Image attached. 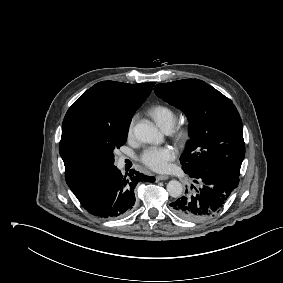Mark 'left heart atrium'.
Wrapping results in <instances>:
<instances>
[{
	"label": "left heart atrium",
	"mask_w": 283,
	"mask_h": 283,
	"mask_svg": "<svg viewBox=\"0 0 283 283\" xmlns=\"http://www.w3.org/2000/svg\"><path fill=\"white\" fill-rule=\"evenodd\" d=\"M176 157V151L171 146L149 147L141 155V162L155 171H165L169 163Z\"/></svg>",
	"instance_id": "left-heart-atrium-1"
}]
</instances>
